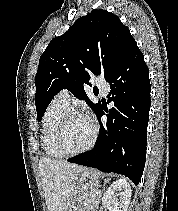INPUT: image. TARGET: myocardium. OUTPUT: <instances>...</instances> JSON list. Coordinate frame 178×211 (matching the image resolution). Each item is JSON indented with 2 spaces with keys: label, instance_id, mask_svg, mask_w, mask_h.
Returning <instances> with one entry per match:
<instances>
[{
  "label": "myocardium",
  "instance_id": "obj_1",
  "mask_svg": "<svg viewBox=\"0 0 178 211\" xmlns=\"http://www.w3.org/2000/svg\"><path fill=\"white\" fill-rule=\"evenodd\" d=\"M73 116H83L90 121L91 126H92V136H91V139L86 146H84L82 149H80L78 151L71 152V151H67V150L64 149V147H63V137H64L65 130L67 128L68 122ZM97 136H98L97 124L89 116H87L85 113H83L80 110L69 109L64 114V116L61 120L59 129L57 131L56 146H57L58 151L61 153V155L63 157H73V156H77V155H80V154H83V153L89 151L95 145V142L97 140Z\"/></svg>",
  "mask_w": 178,
  "mask_h": 211
}]
</instances>
